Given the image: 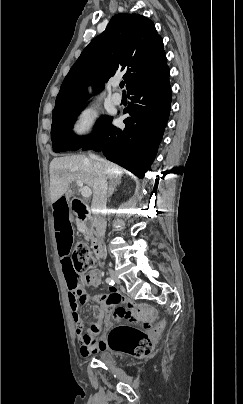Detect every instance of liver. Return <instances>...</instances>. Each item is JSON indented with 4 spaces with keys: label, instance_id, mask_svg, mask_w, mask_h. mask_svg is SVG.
Segmentation results:
<instances>
[{
    "label": "liver",
    "instance_id": "6515ba94",
    "mask_svg": "<svg viewBox=\"0 0 243 404\" xmlns=\"http://www.w3.org/2000/svg\"><path fill=\"white\" fill-rule=\"evenodd\" d=\"M101 162L105 176L109 180H119L125 170L107 162L103 158H98ZM94 160L87 156H66V158H54L50 164V198L51 202H57L63 194H66L69 184L75 180H81L87 184L88 188L94 190L93 178Z\"/></svg>",
    "mask_w": 243,
    "mask_h": 404
}]
</instances>
